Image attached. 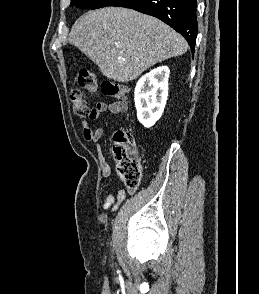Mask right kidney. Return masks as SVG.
I'll return each mask as SVG.
<instances>
[{"instance_id": "ca27d5eb", "label": "right kidney", "mask_w": 259, "mask_h": 294, "mask_svg": "<svg viewBox=\"0 0 259 294\" xmlns=\"http://www.w3.org/2000/svg\"><path fill=\"white\" fill-rule=\"evenodd\" d=\"M170 70L160 66L142 76L135 87L134 99L139 122L152 127L163 114L168 97Z\"/></svg>"}]
</instances>
